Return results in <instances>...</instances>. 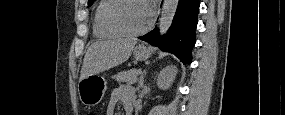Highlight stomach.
Masks as SVG:
<instances>
[{"mask_svg":"<svg viewBox=\"0 0 285 115\" xmlns=\"http://www.w3.org/2000/svg\"><path fill=\"white\" fill-rule=\"evenodd\" d=\"M151 54L152 51L143 45L135 47L133 51L134 58L139 61L148 59ZM106 89L107 82L105 78L97 74H92L79 81V98L84 105L93 107L101 102Z\"/></svg>","mask_w":285,"mask_h":115,"instance_id":"0dacf381","label":"stomach"}]
</instances>
